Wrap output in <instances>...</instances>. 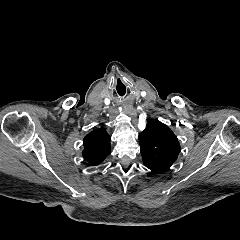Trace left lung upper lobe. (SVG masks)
Segmentation results:
<instances>
[{
  "label": "left lung upper lobe",
  "instance_id": "obj_1",
  "mask_svg": "<svg viewBox=\"0 0 240 240\" xmlns=\"http://www.w3.org/2000/svg\"><path fill=\"white\" fill-rule=\"evenodd\" d=\"M144 165L152 172L161 174L176 161L180 145L172 130L158 120H149L139 135Z\"/></svg>",
  "mask_w": 240,
  "mask_h": 240
}]
</instances>
